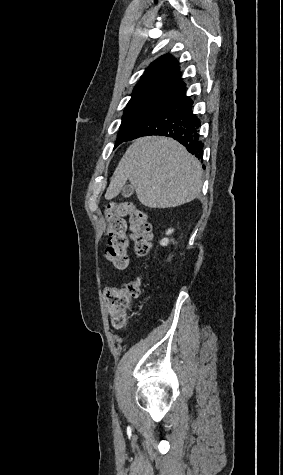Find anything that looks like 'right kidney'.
<instances>
[{"label":"right kidney","mask_w":283,"mask_h":475,"mask_svg":"<svg viewBox=\"0 0 283 475\" xmlns=\"http://www.w3.org/2000/svg\"><path fill=\"white\" fill-rule=\"evenodd\" d=\"M166 234H167V236H170V234H173V230H171V228H170V230H167ZM169 241H170L169 238H163V239H161L160 243H161V245H168Z\"/></svg>","instance_id":"ca27d5eb"}]
</instances>
